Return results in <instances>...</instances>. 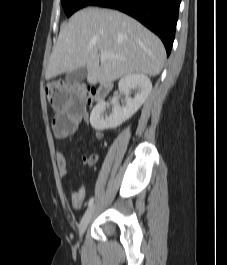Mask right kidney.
I'll return each instance as SVG.
<instances>
[{
	"instance_id": "right-kidney-1",
	"label": "right kidney",
	"mask_w": 227,
	"mask_h": 265,
	"mask_svg": "<svg viewBox=\"0 0 227 265\" xmlns=\"http://www.w3.org/2000/svg\"><path fill=\"white\" fill-rule=\"evenodd\" d=\"M118 87L119 91L125 93L126 95H128L129 91L133 88H137L138 93L134 98L127 97L125 106H114L113 113L109 117L106 116L105 118L102 114L106 109V103L99 102L90 114V123L94 129L103 131L106 129L116 128L128 120L138 111L141 105L148 98L152 90V83L146 75L133 73L122 77L119 81ZM117 94L118 92L114 93V95Z\"/></svg>"
}]
</instances>
